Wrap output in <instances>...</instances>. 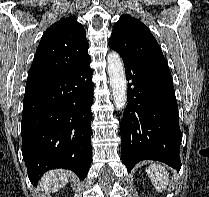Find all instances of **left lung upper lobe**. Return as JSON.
Listing matches in <instances>:
<instances>
[{
	"instance_id": "left-lung-upper-lobe-1",
	"label": "left lung upper lobe",
	"mask_w": 209,
	"mask_h": 197,
	"mask_svg": "<svg viewBox=\"0 0 209 197\" xmlns=\"http://www.w3.org/2000/svg\"><path fill=\"white\" fill-rule=\"evenodd\" d=\"M109 46L123 58L169 71L160 46L150 30L131 16L122 15L115 23Z\"/></svg>"
}]
</instances>
